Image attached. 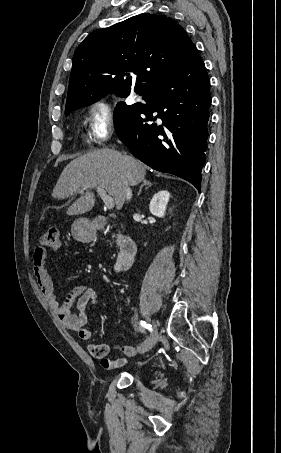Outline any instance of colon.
Listing matches in <instances>:
<instances>
[{
    "label": "colon",
    "instance_id": "colon-1",
    "mask_svg": "<svg viewBox=\"0 0 281 453\" xmlns=\"http://www.w3.org/2000/svg\"><path fill=\"white\" fill-rule=\"evenodd\" d=\"M59 231L60 228L58 226H48L41 238L40 245L43 249H47L48 255L58 250Z\"/></svg>",
    "mask_w": 281,
    "mask_h": 453
}]
</instances>
